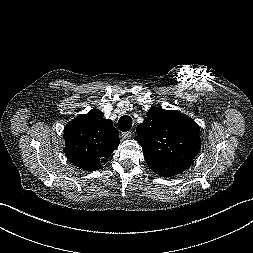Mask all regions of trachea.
Instances as JSON below:
<instances>
[{
    "mask_svg": "<svg viewBox=\"0 0 253 253\" xmlns=\"http://www.w3.org/2000/svg\"><path fill=\"white\" fill-rule=\"evenodd\" d=\"M132 126V118L128 115L122 116L118 121V128L122 132H127L131 129Z\"/></svg>",
    "mask_w": 253,
    "mask_h": 253,
    "instance_id": "trachea-1",
    "label": "trachea"
}]
</instances>
